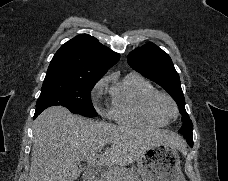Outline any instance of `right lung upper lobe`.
<instances>
[{"label":"right lung upper lobe","instance_id":"obj_1","mask_svg":"<svg viewBox=\"0 0 228 181\" xmlns=\"http://www.w3.org/2000/svg\"><path fill=\"white\" fill-rule=\"evenodd\" d=\"M120 58L99 41L80 34L67 41L55 53L47 70V79L65 81L99 80Z\"/></svg>","mask_w":228,"mask_h":181}]
</instances>
